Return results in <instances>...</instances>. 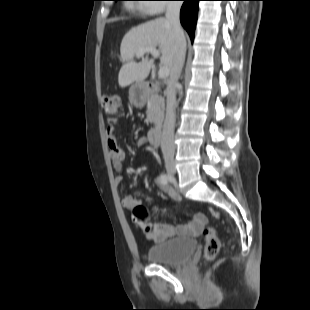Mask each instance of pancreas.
<instances>
[{
    "instance_id": "1",
    "label": "pancreas",
    "mask_w": 310,
    "mask_h": 310,
    "mask_svg": "<svg viewBox=\"0 0 310 310\" xmlns=\"http://www.w3.org/2000/svg\"><path fill=\"white\" fill-rule=\"evenodd\" d=\"M164 97L158 93L151 94L148 97L147 118L146 121L154 125L160 124L164 116Z\"/></svg>"
}]
</instances>
